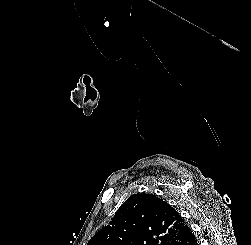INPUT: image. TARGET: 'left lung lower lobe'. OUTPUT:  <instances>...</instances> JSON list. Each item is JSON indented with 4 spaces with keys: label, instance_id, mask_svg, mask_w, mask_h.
<instances>
[{
    "label": "left lung lower lobe",
    "instance_id": "1",
    "mask_svg": "<svg viewBox=\"0 0 251 245\" xmlns=\"http://www.w3.org/2000/svg\"><path fill=\"white\" fill-rule=\"evenodd\" d=\"M170 245H198L197 239L192 230L187 225L182 231L175 237L174 241Z\"/></svg>",
    "mask_w": 251,
    "mask_h": 245
}]
</instances>
